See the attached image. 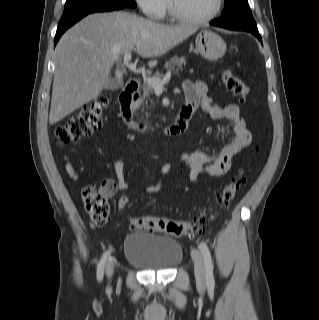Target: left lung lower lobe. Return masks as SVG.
Segmentation results:
<instances>
[{"label": "left lung lower lobe", "mask_w": 319, "mask_h": 320, "mask_svg": "<svg viewBox=\"0 0 319 320\" xmlns=\"http://www.w3.org/2000/svg\"><path fill=\"white\" fill-rule=\"evenodd\" d=\"M210 24L230 30L247 31L252 33L261 41V36L258 32L257 25L253 17L244 15H230L214 20L210 22Z\"/></svg>", "instance_id": "obj_1"}]
</instances>
